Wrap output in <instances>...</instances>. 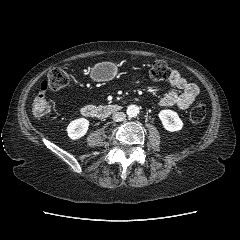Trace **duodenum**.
I'll return each mask as SVG.
<instances>
[{
	"instance_id": "obj_1",
	"label": "duodenum",
	"mask_w": 240,
	"mask_h": 240,
	"mask_svg": "<svg viewBox=\"0 0 240 240\" xmlns=\"http://www.w3.org/2000/svg\"><path fill=\"white\" fill-rule=\"evenodd\" d=\"M120 109L121 107L117 104H108L103 106L89 104L82 107L81 113L87 118L103 119L118 112Z\"/></svg>"
}]
</instances>
